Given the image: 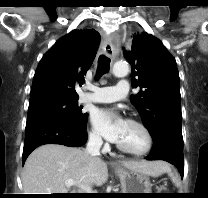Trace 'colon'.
Returning <instances> with one entry per match:
<instances>
[{"label":"colon","instance_id":"colon-1","mask_svg":"<svg viewBox=\"0 0 208 198\" xmlns=\"http://www.w3.org/2000/svg\"><path fill=\"white\" fill-rule=\"evenodd\" d=\"M160 190H163V189H165V188H163V187H161V188H159Z\"/></svg>","mask_w":208,"mask_h":198}]
</instances>
